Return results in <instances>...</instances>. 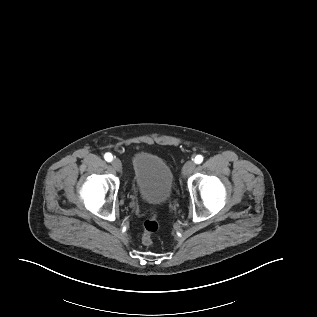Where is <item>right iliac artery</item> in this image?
Returning <instances> with one entry per match:
<instances>
[{
	"label": "right iliac artery",
	"instance_id": "1",
	"mask_svg": "<svg viewBox=\"0 0 317 317\" xmlns=\"http://www.w3.org/2000/svg\"><path fill=\"white\" fill-rule=\"evenodd\" d=\"M104 158H105L106 161L110 162V161H112L113 156H112L111 153H106V154L104 155Z\"/></svg>",
	"mask_w": 317,
	"mask_h": 317
}]
</instances>
